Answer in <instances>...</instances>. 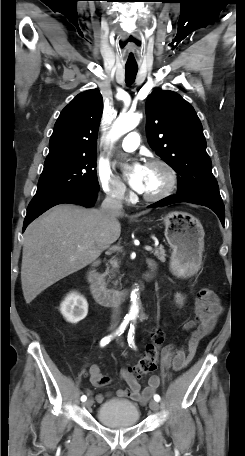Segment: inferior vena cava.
I'll return each mask as SVG.
<instances>
[{
    "instance_id": "602c4592",
    "label": "inferior vena cava",
    "mask_w": 245,
    "mask_h": 456,
    "mask_svg": "<svg viewBox=\"0 0 245 456\" xmlns=\"http://www.w3.org/2000/svg\"><path fill=\"white\" fill-rule=\"evenodd\" d=\"M123 208L122 199L118 197H113L111 194H108L101 205V210L103 213H110V212H118L121 211ZM119 307L115 306L112 320L117 323L118 316H119Z\"/></svg>"
}]
</instances>
